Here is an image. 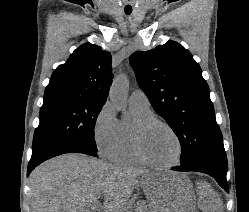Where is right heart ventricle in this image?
I'll return each instance as SVG.
<instances>
[{
	"instance_id": "right-heart-ventricle-1",
	"label": "right heart ventricle",
	"mask_w": 249,
	"mask_h": 212,
	"mask_svg": "<svg viewBox=\"0 0 249 212\" xmlns=\"http://www.w3.org/2000/svg\"><path fill=\"white\" fill-rule=\"evenodd\" d=\"M131 110L135 116L136 121L140 119H145L153 117L154 114L151 109H142L135 106H131ZM131 128L132 124H126L118 122V142L111 154V159L115 162L138 165L141 164L140 160L137 158L131 139Z\"/></svg>"
}]
</instances>
